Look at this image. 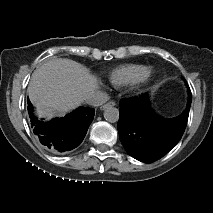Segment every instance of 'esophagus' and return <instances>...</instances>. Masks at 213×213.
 I'll list each match as a JSON object with an SVG mask.
<instances>
[{"label":"esophagus","instance_id":"esophagus-1","mask_svg":"<svg viewBox=\"0 0 213 213\" xmlns=\"http://www.w3.org/2000/svg\"><path fill=\"white\" fill-rule=\"evenodd\" d=\"M108 106H115V102L114 101H110L107 104L103 105L100 107L101 110L106 109Z\"/></svg>","mask_w":213,"mask_h":213}]
</instances>
